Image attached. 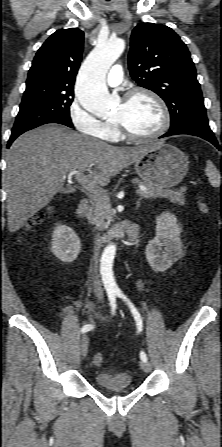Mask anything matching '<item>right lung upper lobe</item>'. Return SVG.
I'll return each instance as SVG.
<instances>
[{
	"instance_id": "1",
	"label": "right lung upper lobe",
	"mask_w": 222,
	"mask_h": 447,
	"mask_svg": "<svg viewBox=\"0 0 222 447\" xmlns=\"http://www.w3.org/2000/svg\"><path fill=\"white\" fill-rule=\"evenodd\" d=\"M83 40L84 33L77 28L53 33L36 53L28 73L27 88L42 85L74 88Z\"/></svg>"
}]
</instances>
